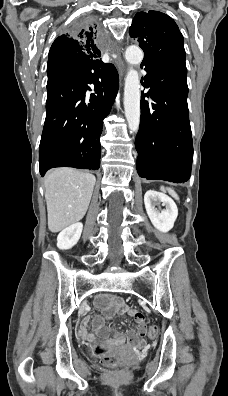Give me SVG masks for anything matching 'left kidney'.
Listing matches in <instances>:
<instances>
[{
	"instance_id": "obj_1",
	"label": "left kidney",
	"mask_w": 228,
	"mask_h": 396,
	"mask_svg": "<svg viewBox=\"0 0 228 396\" xmlns=\"http://www.w3.org/2000/svg\"><path fill=\"white\" fill-rule=\"evenodd\" d=\"M160 203L165 206V209L155 208ZM144 204L148 217L157 230L166 233L173 228L178 216V208L170 197L154 190H148L144 196Z\"/></svg>"
}]
</instances>
